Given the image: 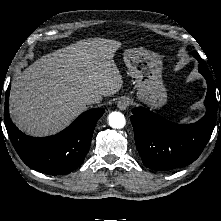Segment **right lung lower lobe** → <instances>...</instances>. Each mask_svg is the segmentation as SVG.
<instances>
[{"label":"right lung lower lobe","instance_id":"98d812e1","mask_svg":"<svg viewBox=\"0 0 221 221\" xmlns=\"http://www.w3.org/2000/svg\"><path fill=\"white\" fill-rule=\"evenodd\" d=\"M9 92L10 86L5 96L4 124L23 162L30 168L49 175L68 174L79 167L90 148L96 122L103 115L104 109L95 108L82 113L69 127L56 135L30 137L22 133L9 118Z\"/></svg>","mask_w":221,"mask_h":221}]
</instances>
